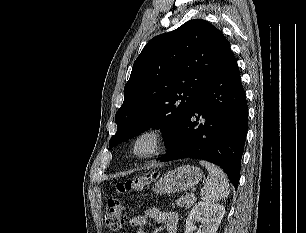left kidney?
Segmentation results:
<instances>
[{
  "instance_id": "5707ae66",
  "label": "left kidney",
  "mask_w": 306,
  "mask_h": 233,
  "mask_svg": "<svg viewBox=\"0 0 306 233\" xmlns=\"http://www.w3.org/2000/svg\"><path fill=\"white\" fill-rule=\"evenodd\" d=\"M224 214L225 207L223 205L198 202L186 220L185 233H192L195 230L194 223L196 221L202 223L197 233H216Z\"/></svg>"
}]
</instances>
